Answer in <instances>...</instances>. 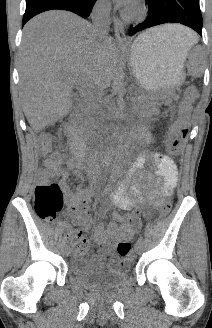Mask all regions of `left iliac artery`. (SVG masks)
I'll return each instance as SVG.
<instances>
[{
  "label": "left iliac artery",
  "mask_w": 212,
  "mask_h": 328,
  "mask_svg": "<svg viewBox=\"0 0 212 328\" xmlns=\"http://www.w3.org/2000/svg\"><path fill=\"white\" fill-rule=\"evenodd\" d=\"M138 241L144 243V238L142 236H139Z\"/></svg>",
  "instance_id": "left-iliac-artery-1"
}]
</instances>
